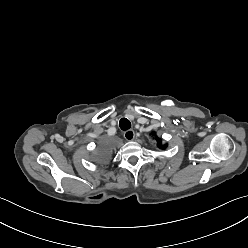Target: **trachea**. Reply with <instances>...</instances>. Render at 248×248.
Here are the masks:
<instances>
[{
  "label": "trachea",
  "mask_w": 248,
  "mask_h": 248,
  "mask_svg": "<svg viewBox=\"0 0 248 248\" xmlns=\"http://www.w3.org/2000/svg\"><path fill=\"white\" fill-rule=\"evenodd\" d=\"M119 126L123 131H127L131 127V123L128 119L122 118L119 121Z\"/></svg>",
  "instance_id": "3493384b"
}]
</instances>
